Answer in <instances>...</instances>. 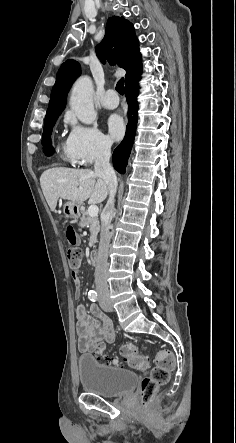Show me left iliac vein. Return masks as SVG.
<instances>
[{
    "instance_id": "4c4485c4",
    "label": "left iliac vein",
    "mask_w": 236,
    "mask_h": 443,
    "mask_svg": "<svg viewBox=\"0 0 236 443\" xmlns=\"http://www.w3.org/2000/svg\"><path fill=\"white\" fill-rule=\"evenodd\" d=\"M102 308H103V310L104 311H106V312H109L111 309H107V308H105L104 306H102Z\"/></svg>"
}]
</instances>
